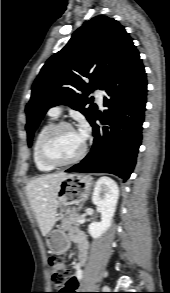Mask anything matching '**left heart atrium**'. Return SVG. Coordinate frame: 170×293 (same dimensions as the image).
Returning a JSON list of instances; mask_svg holds the SVG:
<instances>
[{"label":"left heart atrium","instance_id":"left-heart-atrium-1","mask_svg":"<svg viewBox=\"0 0 170 293\" xmlns=\"http://www.w3.org/2000/svg\"><path fill=\"white\" fill-rule=\"evenodd\" d=\"M81 139L83 140L86 135V126L83 125L82 128L77 132Z\"/></svg>","mask_w":170,"mask_h":293}]
</instances>
